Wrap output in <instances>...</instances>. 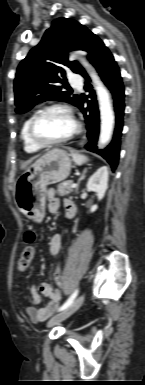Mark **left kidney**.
<instances>
[{
  "label": "left kidney",
  "mask_w": 145,
  "mask_h": 385,
  "mask_svg": "<svg viewBox=\"0 0 145 385\" xmlns=\"http://www.w3.org/2000/svg\"><path fill=\"white\" fill-rule=\"evenodd\" d=\"M108 184V167H100L88 180L87 188L90 191L97 193L98 200H101L107 190ZM97 209V205H93L90 212H94Z\"/></svg>",
  "instance_id": "obj_1"
}]
</instances>
